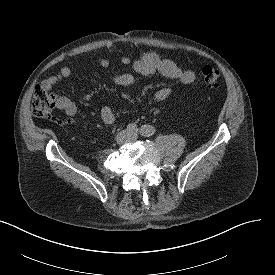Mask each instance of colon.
I'll return each mask as SVG.
<instances>
[{"instance_id": "colon-1", "label": "colon", "mask_w": 275, "mask_h": 275, "mask_svg": "<svg viewBox=\"0 0 275 275\" xmlns=\"http://www.w3.org/2000/svg\"><path fill=\"white\" fill-rule=\"evenodd\" d=\"M202 78L209 88H217L221 80L218 69L205 66L202 69ZM57 107L56 96L43 84H37L32 96V112L36 117L49 119Z\"/></svg>"}]
</instances>
